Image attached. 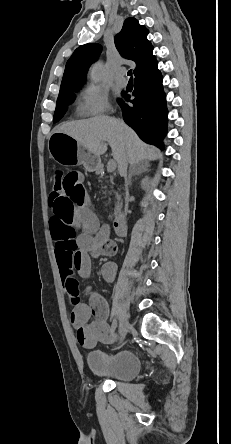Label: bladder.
<instances>
[{
    "instance_id": "bladder-1",
    "label": "bladder",
    "mask_w": 231,
    "mask_h": 444,
    "mask_svg": "<svg viewBox=\"0 0 231 444\" xmlns=\"http://www.w3.org/2000/svg\"><path fill=\"white\" fill-rule=\"evenodd\" d=\"M87 364L95 376L117 381H130L141 370L140 357L129 350L111 354L93 352L87 356Z\"/></svg>"
}]
</instances>
